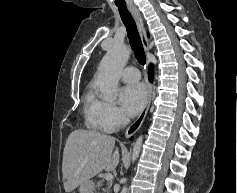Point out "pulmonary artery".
<instances>
[{"label":"pulmonary artery","instance_id":"obj_1","mask_svg":"<svg viewBox=\"0 0 237 193\" xmlns=\"http://www.w3.org/2000/svg\"><path fill=\"white\" fill-rule=\"evenodd\" d=\"M120 77L124 82L133 84L140 80L141 75L136 67L128 66L122 71Z\"/></svg>","mask_w":237,"mask_h":193}]
</instances>
